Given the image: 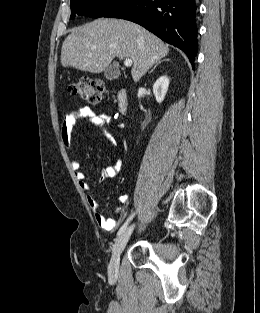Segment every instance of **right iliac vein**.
<instances>
[{
    "label": "right iliac vein",
    "mask_w": 260,
    "mask_h": 313,
    "mask_svg": "<svg viewBox=\"0 0 260 313\" xmlns=\"http://www.w3.org/2000/svg\"><path fill=\"white\" fill-rule=\"evenodd\" d=\"M134 225L129 226L126 228L122 234L116 239L115 244L112 250V256L108 267V272L110 277L117 278L119 273V261H120V254L124 250L131 233L133 231Z\"/></svg>",
    "instance_id": "obj_1"
}]
</instances>
